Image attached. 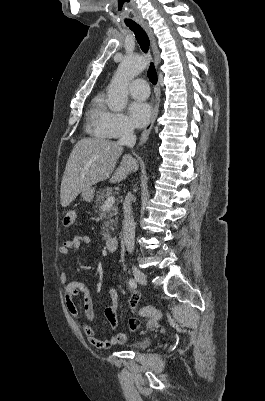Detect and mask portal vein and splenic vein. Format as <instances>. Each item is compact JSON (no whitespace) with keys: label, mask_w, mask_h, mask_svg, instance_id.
<instances>
[{"label":"portal vein and splenic vein","mask_w":265,"mask_h":401,"mask_svg":"<svg viewBox=\"0 0 265 401\" xmlns=\"http://www.w3.org/2000/svg\"><path fill=\"white\" fill-rule=\"evenodd\" d=\"M113 203H115L114 196H107V201H105V203L103 205V209H105V207H111V205H113Z\"/></svg>","instance_id":"portal-vein-and-splenic-vein-1"}]
</instances>
